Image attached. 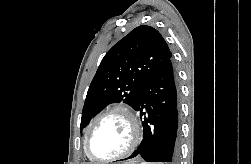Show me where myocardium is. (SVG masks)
<instances>
[{
    "label": "myocardium",
    "mask_w": 251,
    "mask_h": 164,
    "mask_svg": "<svg viewBox=\"0 0 251 164\" xmlns=\"http://www.w3.org/2000/svg\"><path fill=\"white\" fill-rule=\"evenodd\" d=\"M113 113H120L127 119L131 128L130 143L123 152L115 156L108 157V158H97L91 153V150H90V142H91L93 132L95 128L97 127V125L99 124V122L104 117ZM141 137H142L141 125L134 111L125 104H116L107 108L102 113H100L89 126L87 134H86V138H85V144H84L85 153L89 159L97 163H107V162L120 160L129 156L137 148V146L139 145L141 141Z\"/></svg>",
    "instance_id": "1"
}]
</instances>
